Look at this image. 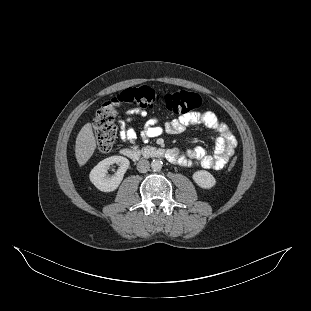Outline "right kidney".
<instances>
[{"instance_id": "1", "label": "right kidney", "mask_w": 311, "mask_h": 311, "mask_svg": "<svg viewBox=\"0 0 311 311\" xmlns=\"http://www.w3.org/2000/svg\"><path fill=\"white\" fill-rule=\"evenodd\" d=\"M119 166L117 172L109 176L107 171L112 164ZM130 162L123 156H111L99 162L90 172V181L100 190L110 192L117 189L124 174L129 168Z\"/></svg>"}]
</instances>
